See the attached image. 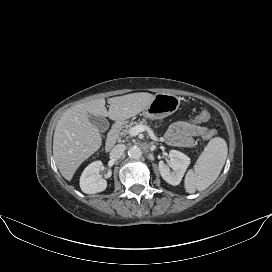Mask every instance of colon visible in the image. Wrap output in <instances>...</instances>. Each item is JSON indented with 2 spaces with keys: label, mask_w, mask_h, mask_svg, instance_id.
<instances>
[{
  "label": "colon",
  "mask_w": 272,
  "mask_h": 272,
  "mask_svg": "<svg viewBox=\"0 0 272 272\" xmlns=\"http://www.w3.org/2000/svg\"><path fill=\"white\" fill-rule=\"evenodd\" d=\"M210 118L209 113L207 111H201L198 115L194 118V121L197 123H204L208 121ZM215 135L214 130H207L206 133L203 135L204 139H210Z\"/></svg>",
  "instance_id": "5ec220e1"
}]
</instances>
